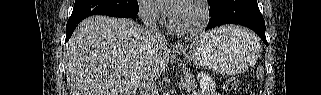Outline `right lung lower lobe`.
<instances>
[{"mask_svg": "<svg viewBox=\"0 0 321 95\" xmlns=\"http://www.w3.org/2000/svg\"><path fill=\"white\" fill-rule=\"evenodd\" d=\"M94 14H82V15H75V16H71L67 22V26H66V40L65 42H67L69 40V38L71 37L74 29L76 28V25L81 22L84 18L91 16ZM108 16H112V17H122V18H134L135 16H129V15H108Z\"/></svg>", "mask_w": 321, "mask_h": 95, "instance_id": "obj_1", "label": "right lung lower lobe"}]
</instances>
